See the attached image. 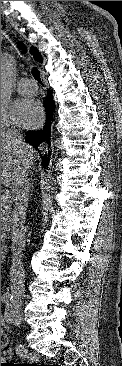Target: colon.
Returning a JSON list of instances; mask_svg holds the SVG:
<instances>
[{
  "label": "colon",
  "instance_id": "colon-1",
  "mask_svg": "<svg viewBox=\"0 0 122 366\" xmlns=\"http://www.w3.org/2000/svg\"><path fill=\"white\" fill-rule=\"evenodd\" d=\"M1 349L6 352H9L7 348V339L2 331H1Z\"/></svg>",
  "mask_w": 122,
  "mask_h": 366
}]
</instances>
